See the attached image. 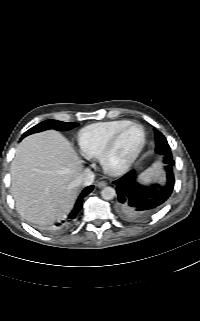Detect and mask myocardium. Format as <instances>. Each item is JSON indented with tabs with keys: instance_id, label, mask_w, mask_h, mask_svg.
Instances as JSON below:
<instances>
[{
	"instance_id": "myocardium-1",
	"label": "myocardium",
	"mask_w": 200,
	"mask_h": 321,
	"mask_svg": "<svg viewBox=\"0 0 200 321\" xmlns=\"http://www.w3.org/2000/svg\"><path fill=\"white\" fill-rule=\"evenodd\" d=\"M132 126H136L141 129L142 141L138 146V148L134 151V153L129 157V159L126 162H124L119 166H112L109 162L110 156L112 155L114 149L116 148L121 135L124 133L125 130H127L129 127H132ZM145 145H146L145 128L137 122H129L123 127H121L119 130H117L116 133L111 137L109 142L106 144V146L104 147V149L99 155L100 165L107 174L111 176H121L130 170L132 165L135 163V161L143 151Z\"/></svg>"
}]
</instances>
